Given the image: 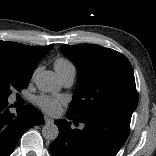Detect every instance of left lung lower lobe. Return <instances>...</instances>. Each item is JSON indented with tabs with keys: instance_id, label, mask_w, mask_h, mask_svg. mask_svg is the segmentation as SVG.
Returning <instances> with one entry per match:
<instances>
[{
	"instance_id": "obj_1",
	"label": "left lung lower lobe",
	"mask_w": 156,
	"mask_h": 156,
	"mask_svg": "<svg viewBox=\"0 0 156 156\" xmlns=\"http://www.w3.org/2000/svg\"><path fill=\"white\" fill-rule=\"evenodd\" d=\"M82 130L71 129L65 120H56L59 135L50 145L52 156H115L129 135L131 119L115 113L79 118L67 113Z\"/></svg>"
}]
</instances>
